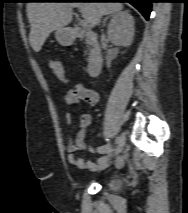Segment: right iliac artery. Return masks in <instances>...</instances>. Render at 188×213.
Wrapping results in <instances>:
<instances>
[{"label": "right iliac artery", "mask_w": 188, "mask_h": 213, "mask_svg": "<svg viewBox=\"0 0 188 213\" xmlns=\"http://www.w3.org/2000/svg\"><path fill=\"white\" fill-rule=\"evenodd\" d=\"M119 141H120V137H116V139H115V143H116V144H118V143H119Z\"/></svg>", "instance_id": "right-iliac-artery-1"}]
</instances>
